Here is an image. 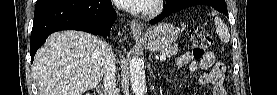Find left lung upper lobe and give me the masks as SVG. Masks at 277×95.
I'll return each instance as SVG.
<instances>
[{"mask_svg":"<svg viewBox=\"0 0 277 95\" xmlns=\"http://www.w3.org/2000/svg\"><path fill=\"white\" fill-rule=\"evenodd\" d=\"M175 1H177V0H166V5H165V7L168 6V5H170V4H172V3L175 2Z\"/></svg>","mask_w":277,"mask_h":95,"instance_id":"left-lung-upper-lobe-1","label":"left lung upper lobe"}]
</instances>
